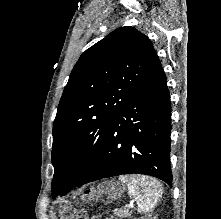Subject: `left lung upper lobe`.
I'll return each instance as SVG.
<instances>
[{
  "mask_svg": "<svg viewBox=\"0 0 221 219\" xmlns=\"http://www.w3.org/2000/svg\"><path fill=\"white\" fill-rule=\"evenodd\" d=\"M156 59L149 38L133 27L116 29L81 55L53 125L54 197L75 187L94 162L115 118Z\"/></svg>",
  "mask_w": 221,
  "mask_h": 219,
  "instance_id": "left-lung-upper-lobe-1",
  "label": "left lung upper lobe"
}]
</instances>
